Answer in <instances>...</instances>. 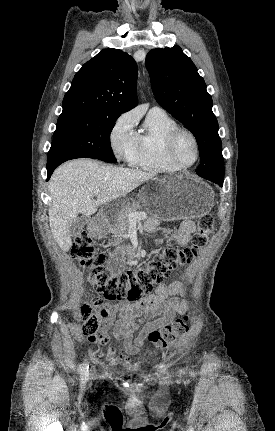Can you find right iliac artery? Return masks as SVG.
<instances>
[{
  "label": "right iliac artery",
  "instance_id": "right-iliac-artery-1",
  "mask_svg": "<svg viewBox=\"0 0 275 431\" xmlns=\"http://www.w3.org/2000/svg\"><path fill=\"white\" fill-rule=\"evenodd\" d=\"M88 368V362L85 361L81 367V375L83 376V378H86L88 376Z\"/></svg>",
  "mask_w": 275,
  "mask_h": 431
}]
</instances>
